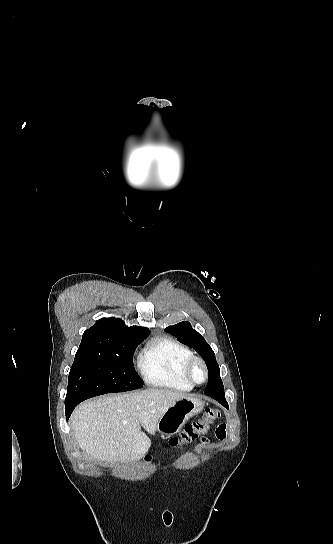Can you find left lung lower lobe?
Returning a JSON list of instances; mask_svg holds the SVG:
<instances>
[{"mask_svg": "<svg viewBox=\"0 0 333 544\" xmlns=\"http://www.w3.org/2000/svg\"><path fill=\"white\" fill-rule=\"evenodd\" d=\"M206 395L214 398L215 400H217L221 405H223L224 407L228 408V403L225 399V394L224 392H210V393H207Z\"/></svg>", "mask_w": 333, "mask_h": 544, "instance_id": "0a47b994", "label": "left lung lower lobe"}]
</instances>
